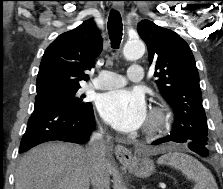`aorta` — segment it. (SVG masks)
<instances>
[{
	"instance_id": "obj_1",
	"label": "aorta",
	"mask_w": 223,
	"mask_h": 189,
	"mask_svg": "<svg viewBox=\"0 0 223 189\" xmlns=\"http://www.w3.org/2000/svg\"><path fill=\"white\" fill-rule=\"evenodd\" d=\"M145 53V45L141 40L128 41L123 48L125 59L134 61L141 58Z\"/></svg>"
}]
</instances>
